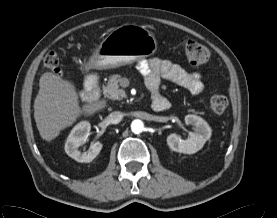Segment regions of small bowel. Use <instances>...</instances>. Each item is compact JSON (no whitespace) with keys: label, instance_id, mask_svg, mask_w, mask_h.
<instances>
[{"label":"small bowel","instance_id":"c3829d8e","mask_svg":"<svg viewBox=\"0 0 277 218\" xmlns=\"http://www.w3.org/2000/svg\"><path fill=\"white\" fill-rule=\"evenodd\" d=\"M137 68L145 78V84L151 93L152 108L158 109L159 98H164L159 92L161 79L169 80L189 91L193 95H199L204 91V83L197 72H188L182 66L168 59L152 58L137 63Z\"/></svg>","mask_w":277,"mask_h":218}]
</instances>
